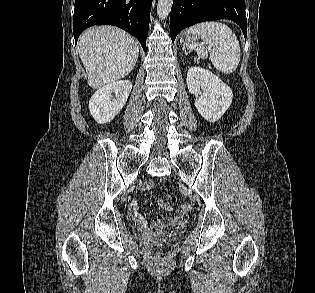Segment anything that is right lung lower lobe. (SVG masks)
<instances>
[{"mask_svg": "<svg viewBox=\"0 0 315 293\" xmlns=\"http://www.w3.org/2000/svg\"><path fill=\"white\" fill-rule=\"evenodd\" d=\"M152 0H75L73 33L93 25H114L135 36L146 52Z\"/></svg>", "mask_w": 315, "mask_h": 293, "instance_id": "1", "label": "right lung lower lobe"}]
</instances>
